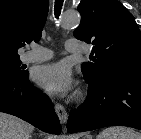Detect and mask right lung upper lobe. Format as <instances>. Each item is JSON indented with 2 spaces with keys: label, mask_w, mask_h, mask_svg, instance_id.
<instances>
[{
  "label": "right lung upper lobe",
  "mask_w": 141,
  "mask_h": 139,
  "mask_svg": "<svg viewBox=\"0 0 141 139\" xmlns=\"http://www.w3.org/2000/svg\"><path fill=\"white\" fill-rule=\"evenodd\" d=\"M48 6V0H0V56H19L25 42L40 40Z\"/></svg>",
  "instance_id": "obj_1"
}]
</instances>
